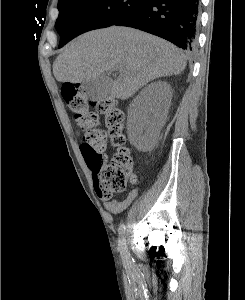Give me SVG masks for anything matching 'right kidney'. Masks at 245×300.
<instances>
[{"instance_id":"obj_1","label":"right kidney","mask_w":245,"mask_h":300,"mask_svg":"<svg viewBox=\"0 0 245 300\" xmlns=\"http://www.w3.org/2000/svg\"><path fill=\"white\" fill-rule=\"evenodd\" d=\"M172 99V89L165 81L147 85L130 103L127 134L139 151L154 147L166 121Z\"/></svg>"}]
</instances>
